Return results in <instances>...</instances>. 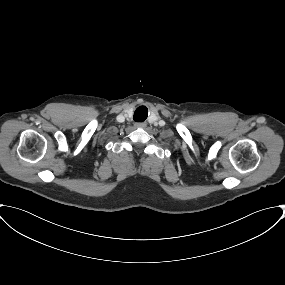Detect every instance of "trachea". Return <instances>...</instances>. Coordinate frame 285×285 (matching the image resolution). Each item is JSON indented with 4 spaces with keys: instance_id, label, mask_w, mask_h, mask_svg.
Returning a JSON list of instances; mask_svg holds the SVG:
<instances>
[{
    "instance_id": "obj_1",
    "label": "trachea",
    "mask_w": 285,
    "mask_h": 285,
    "mask_svg": "<svg viewBox=\"0 0 285 285\" xmlns=\"http://www.w3.org/2000/svg\"><path fill=\"white\" fill-rule=\"evenodd\" d=\"M147 108L145 106H140L134 112V120L137 122H143L147 118Z\"/></svg>"
}]
</instances>
